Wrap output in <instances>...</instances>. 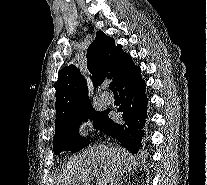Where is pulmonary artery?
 Returning a JSON list of instances; mask_svg holds the SVG:
<instances>
[{
    "label": "pulmonary artery",
    "instance_id": "e3ab8cb5",
    "mask_svg": "<svg viewBox=\"0 0 207 185\" xmlns=\"http://www.w3.org/2000/svg\"><path fill=\"white\" fill-rule=\"evenodd\" d=\"M100 99L106 104H111L114 101L113 96L108 92L101 93L100 94Z\"/></svg>",
    "mask_w": 207,
    "mask_h": 185
}]
</instances>
